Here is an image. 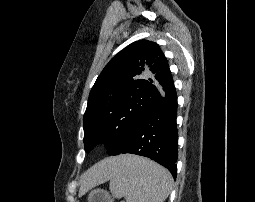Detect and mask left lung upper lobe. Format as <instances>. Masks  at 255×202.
I'll return each mask as SVG.
<instances>
[{
	"label": "left lung upper lobe",
	"instance_id": "1",
	"mask_svg": "<svg viewBox=\"0 0 255 202\" xmlns=\"http://www.w3.org/2000/svg\"><path fill=\"white\" fill-rule=\"evenodd\" d=\"M173 92L160 47L147 40L130 44L110 60L91 89L83 119L85 150L101 141L110 155H118L147 114Z\"/></svg>",
	"mask_w": 255,
	"mask_h": 202
}]
</instances>
